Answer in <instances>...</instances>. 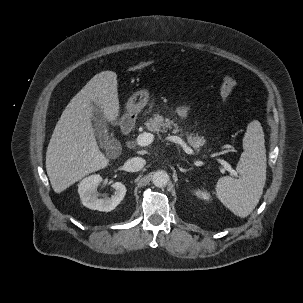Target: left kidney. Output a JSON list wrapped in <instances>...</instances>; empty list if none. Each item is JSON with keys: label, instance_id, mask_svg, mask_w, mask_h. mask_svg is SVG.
Here are the masks:
<instances>
[{"label": "left kidney", "instance_id": "left-kidney-1", "mask_svg": "<svg viewBox=\"0 0 303 303\" xmlns=\"http://www.w3.org/2000/svg\"><path fill=\"white\" fill-rule=\"evenodd\" d=\"M195 195L198 198L204 199V200H209L211 198L210 194L207 191H202L200 189L195 190Z\"/></svg>", "mask_w": 303, "mask_h": 303}]
</instances>
